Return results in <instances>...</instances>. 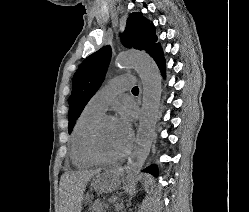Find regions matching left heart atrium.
Masks as SVG:
<instances>
[{
	"mask_svg": "<svg viewBox=\"0 0 249 212\" xmlns=\"http://www.w3.org/2000/svg\"><path fill=\"white\" fill-rule=\"evenodd\" d=\"M116 125L118 131L122 135L126 149L129 147L132 139V127L130 123V119L128 116L123 115L119 119L116 120Z\"/></svg>",
	"mask_w": 249,
	"mask_h": 212,
	"instance_id": "1",
	"label": "left heart atrium"
}]
</instances>
